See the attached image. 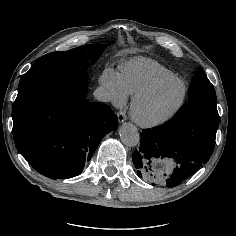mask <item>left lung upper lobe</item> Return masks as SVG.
Listing matches in <instances>:
<instances>
[{"instance_id": "1", "label": "left lung upper lobe", "mask_w": 236, "mask_h": 236, "mask_svg": "<svg viewBox=\"0 0 236 236\" xmlns=\"http://www.w3.org/2000/svg\"><path fill=\"white\" fill-rule=\"evenodd\" d=\"M188 97V103L193 101H206L216 104V93L214 87L209 82L201 66L192 78L188 90Z\"/></svg>"}]
</instances>
